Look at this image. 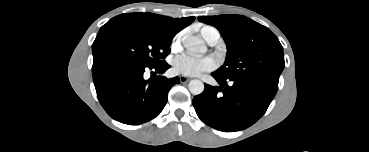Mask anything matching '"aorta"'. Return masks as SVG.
<instances>
[{
    "mask_svg": "<svg viewBox=\"0 0 369 152\" xmlns=\"http://www.w3.org/2000/svg\"><path fill=\"white\" fill-rule=\"evenodd\" d=\"M182 41L184 47L190 53L203 54L206 52V46L204 45L203 40L198 37L187 35L183 37ZM188 88L193 95H199L204 91V84L200 80L193 79L189 82Z\"/></svg>",
    "mask_w": 369,
    "mask_h": 152,
    "instance_id": "obj_1",
    "label": "aorta"
}]
</instances>
